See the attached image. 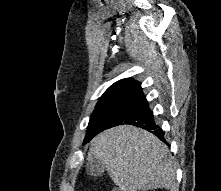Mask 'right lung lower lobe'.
<instances>
[{
    "label": "right lung lower lobe",
    "mask_w": 221,
    "mask_h": 191,
    "mask_svg": "<svg viewBox=\"0 0 221 191\" xmlns=\"http://www.w3.org/2000/svg\"><path fill=\"white\" fill-rule=\"evenodd\" d=\"M122 124H131L146 129L165 141L163 131L155 124L153 112L148 106L141 86L127 93L112 106L101 124L99 133Z\"/></svg>",
    "instance_id": "98d812e1"
}]
</instances>
